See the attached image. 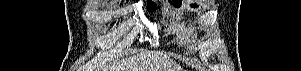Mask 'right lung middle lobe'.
<instances>
[{
    "label": "right lung middle lobe",
    "mask_w": 301,
    "mask_h": 71,
    "mask_svg": "<svg viewBox=\"0 0 301 71\" xmlns=\"http://www.w3.org/2000/svg\"><path fill=\"white\" fill-rule=\"evenodd\" d=\"M156 8V5H148V11H153Z\"/></svg>",
    "instance_id": "obj_1"
}]
</instances>
